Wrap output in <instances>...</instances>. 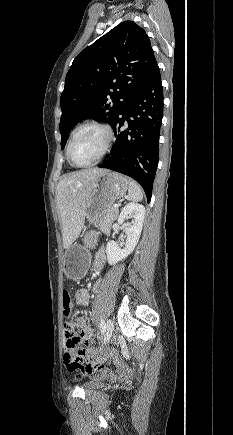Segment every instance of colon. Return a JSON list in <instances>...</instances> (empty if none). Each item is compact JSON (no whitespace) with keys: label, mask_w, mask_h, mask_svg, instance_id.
<instances>
[{"label":"colon","mask_w":233,"mask_h":435,"mask_svg":"<svg viewBox=\"0 0 233 435\" xmlns=\"http://www.w3.org/2000/svg\"><path fill=\"white\" fill-rule=\"evenodd\" d=\"M73 304L67 288L62 290V312L65 320H69L72 315ZM66 352L64 354V364L69 371H74L79 368L83 361V352L79 348L82 333L72 324L65 325ZM98 356V355H97ZM87 371L100 372L99 359L85 367Z\"/></svg>","instance_id":"1"}]
</instances>
